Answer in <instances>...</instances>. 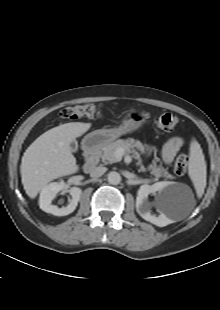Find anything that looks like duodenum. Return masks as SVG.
Returning <instances> with one entry per match:
<instances>
[{"label":"duodenum","mask_w":220,"mask_h":310,"mask_svg":"<svg viewBox=\"0 0 220 310\" xmlns=\"http://www.w3.org/2000/svg\"><path fill=\"white\" fill-rule=\"evenodd\" d=\"M85 147V161L83 164V170L86 173H90L95 169L99 161V149L95 144L90 142H87Z\"/></svg>","instance_id":"1"}]
</instances>
